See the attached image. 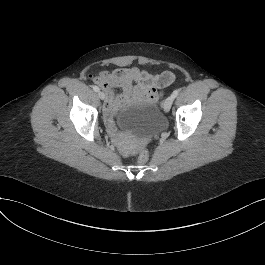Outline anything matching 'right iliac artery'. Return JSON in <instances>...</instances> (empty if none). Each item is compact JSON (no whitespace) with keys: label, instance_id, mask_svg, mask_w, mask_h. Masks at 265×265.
I'll return each instance as SVG.
<instances>
[{"label":"right iliac artery","instance_id":"82829eb1","mask_svg":"<svg viewBox=\"0 0 265 265\" xmlns=\"http://www.w3.org/2000/svg\"><path fill=\"white\" fill-rule=\"evenodd\" d=\"M93 90H94L95 92H99L100 89H99L98 86H94V87H93Z\"/></svg>","mask_w":265,"mask_h":265}]
</instances>
